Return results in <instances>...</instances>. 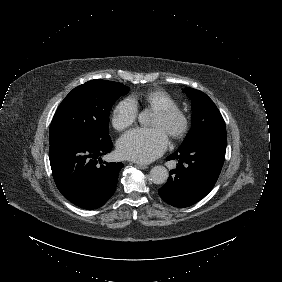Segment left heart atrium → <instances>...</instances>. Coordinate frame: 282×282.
<instances>
[{
	"mask_svg": "<svg viewBox=\"0 0 282 282\" xmlns=\"http://www.w3.org/2000/svg\"><path fill=\"white\" fill-rule=\"evenodd\" d=\"M167 146V138L160 128L135 129L118 141V151L123 158L148 163L160 156Z\"/></svg>",
	"mask_w": 282,
	"mask_h": 282,
	"instance_id": "left-heart-atrium-1",
	"label": "left heart atrium"
}]
</instances>
